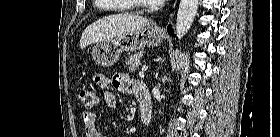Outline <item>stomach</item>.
<instances>
[{
  "mask_svg": "<svg viewBox=\"0 0 280 137\" xmlns=\"http://www.w3.org/2000/svg\"><path fill=\"white\" fill-rule=\"evenodd\" d=\"M164 33L156 24L129 31L112 39L96 44L92 56L96 64L107 67L115 64L124 51H137L145 46H159Z\"/></svg>",
  "mask_w": 280,
  "mask_h": 137,
  "instance_id": "obj_1",
  "label": "stomach"
}]
</instances>
